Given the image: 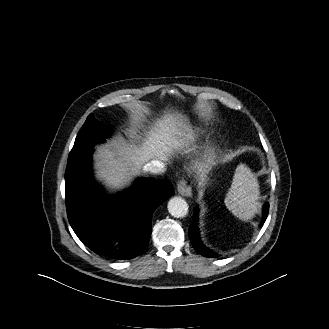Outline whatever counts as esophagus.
Returning a JSON list of instances; mask_svg holds the SVG:
<instances>
[{
    "instance_id": "obj_1",
    "label": "esophagus",
    "mask_w": 329,
    "mask_h": 329,
    "mask_svg": "<svg viewBox=\"0 0 329 329\" xmlns=\"http://www.w3.org/2000/svg\"><path fill=\"white\" fill-rule=\"evenodd\" d=\"M177 189L179 194L182 196L190 197L192 195V189L184 179L178 181Z\"/></svg>"
}]
</instances>
